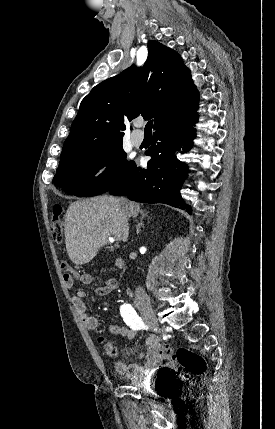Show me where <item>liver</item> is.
Returning a JSON list of instances; mask_svg holds the SVG:
<instances>
[{"mask_svg": "<svg viewBox=\"0 0 275 429\" xmlns=\"http://www.w3.org/2000/svg\"><path fill=\"white\" fill-rule=\"evenodd\" d=\"M140 205L114 196H96L73 202L65 215V244L76 265L90 262L108 238L119 235L127 242L129 218L137 217Z\"/></svg>", "mask_w": 275, "mask_h": 429, "instance_id": "1", "label": "liver"}]
</instances>
